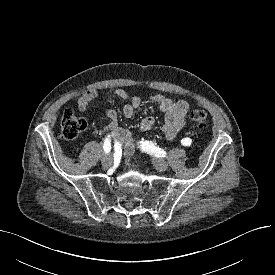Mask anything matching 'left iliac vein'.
Returning <instances> with one entry per match:
<instances>
[{
    "label": "left iliac vein",
    "instance_id": "4c4485c4",
    "mask_svg": "<svg viewBox=\"0 0 275 275\" xmlns=\"http://www.w3.org/2000/svg\"><path fill=\"white\" fill-rule=\"evenodd\" d=\"M153 164L155 168L160 172H165L168 169V163L161 158L153 159Z\"/></svg>",
    "mask_w": 275,
    "mask_h": 275
}]
</instances>
